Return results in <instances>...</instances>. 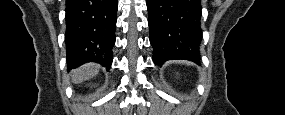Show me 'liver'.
<instances>
[{"label":"liver","mask_w":285,"mask_h":115,"mask_svg":"<svg viewBox=\"0 0 285 115\" xmlns=\"http://www.w3.org/2000/svg\"><path fill=\"white\" fill-rule=\"evenodd\" d=\"M97 64H86L72 71V81L75 84L81 83L94 77L99 72Z\"/></svg>","instance_id":"obj_1"}]
</instances>
